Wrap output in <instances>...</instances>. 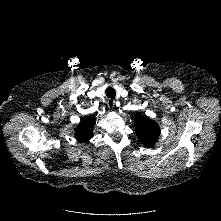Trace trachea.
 <instances>
[{
	"label": "trachea",
	"instance_id": "1",
	"mask_svg": "<svg viewBox=\"0 0 221 221\" xmlns=\"http://www.w3.org/2000/svg\"><path fill=\"white\" fill-rule=\"evenodd\" d=\"M106 96L108 97V98H115V96H116V92H115V90L113 89V88H111V87H108L107 89H106Z\"/></svg>",
	"mask_w": 221,
	"mask_h": 221
}]
</instances>
